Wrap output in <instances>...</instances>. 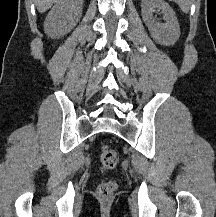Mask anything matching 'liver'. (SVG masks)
I'll return each instance as SVG.
<instances>
[{
    "instance_id": "1",
    "label": "liver",
    "mask_w": 216,
    "mask_h": 217,
    "mask_svg": "<svg viewBox=\"0 0 216 217\" xmlns=\"http://www.w3.org/2000/svg\"><path fill=\"white\" fill-rule=\"evenodd\" d=\"M59 0H36V7L40 13H44Z\"/></svg>"
}]
</instances>
